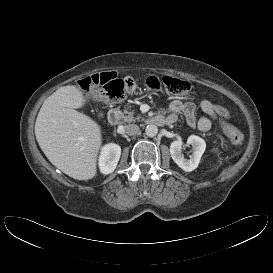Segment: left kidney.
<instances>
[{"instance_id": "left-kidney-1", "label": "left kidney", "mask_w": 273, "mask_h": 273, "mask_svg": "<svg viewBox=\"0 0 273 273\" xmlns=\"http://www.w3.org/2000/svg\"><path fill=\"white\" fill-rule=\"evenodd\" d=\"M187 143L192 145L193 154L190 159H185L181 153V148L183 145L182 141H173L170 145V154L173 161L184 171L191 172L198 167L200 159L206 149L205 141L196 135H191L188 137Z\"/></svg>"}]
</instances>
